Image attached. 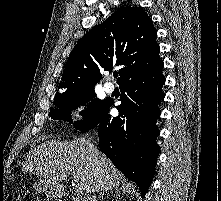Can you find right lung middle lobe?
Wrapping results in <instances>:
<instances>
[{"label": "right lung middle lobe", "mask_w": 221, "mask_h": 201, "mask_svg": "<svg viewBox=\"0 0 221 201\" xmlns=\"http://www.w3.org/2000/svg\"><path fill=\"white\" fill-rule=\"evenodd\" d=\"M90 100L91 102L88 107L81 111V114L84 115L83 120L73 124L76 129L83 131L97 123L109 102L107 99L100 100L95 98L93 89L55 96L54 105L57 108L51 110L50 116L55 120L71 121V110L77 108L79 105H86Z\"/></svg>", "instance_id": "1"}]
</instances>
